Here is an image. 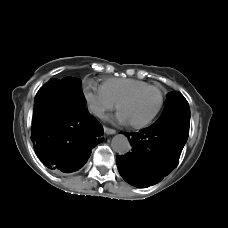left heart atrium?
Here are the masks:
<instances>
[{
	"label": "left heart atrium",
	"instance_id": "obj_1",
	"mask_svg": "<svg viewBox=\"0 0 228 228\" xmlns=\"http://www.w3.org/2000/svg\"><path fill=\"white\" fill-rule=\"evenodd\" d=\"M118 119H119L121 122H123V123L128 122L127 118L125 117V115H124L122 112H120V113L118 114Z\"/></svg>",
	"mask_w": 228,
	"mask_h": 228
}]
</instances>
